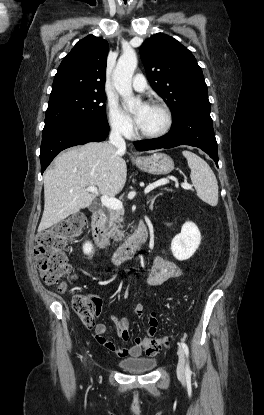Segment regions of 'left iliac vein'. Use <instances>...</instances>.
<instances>
[{
    "label": "left iliac vein",
    "mask_w": 264,
    "mask_h": 415,
    "mask_svg": "<svg viewBox=\"0 0 264 415\" xmlns=\"http://www.w3.org/2000/svg\"><path fill=\"white\" fill-rule=\"evenodd\" d=\"M178 364H177V375L179 379L185 378V356L181 347L178 348Z\"/></svg>",
    "instance_id": "4c4485c4"
}]
</instances>
